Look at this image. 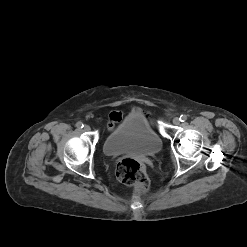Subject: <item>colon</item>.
I'll return each instance as SVG.
<instances>
[{"label": "colon", "instance_id": "obj_1", "mask_svg": "<svg viewBox=\"0 0 247 247\" xmlns=\"http://www.w3.org/2000/svg\"><path fill=\"white\" fill-rule=\"evenodd\" d=\"M117 178L127 184L135 186L141 192H146L149 187V179L145 166L134 158H125L117 164Z\"/></svg>", "mask_w": 247, "mask_h": 247}]
</instances>
